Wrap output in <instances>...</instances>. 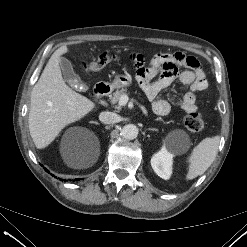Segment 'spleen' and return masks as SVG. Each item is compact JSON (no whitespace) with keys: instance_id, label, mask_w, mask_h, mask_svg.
<instances>
[{"instance_id":"spleen-1","label":"spleen","mask_w":247,"mask_h":247,"mask_svg":"<svg viewBox=\"0 0 247 247\" xmlns=\"http://www.w3.org/2000/svg\"><path fill=\"white\" fill-rule=\"evenodd\" d=\"M219 142L220 136L207 137L193 149L188 159L190 163L186 176L188 180L202 175L210 167L215 160Z\"/></svg>"}]
</instances>
